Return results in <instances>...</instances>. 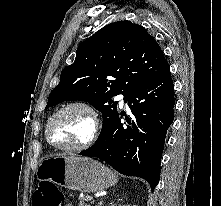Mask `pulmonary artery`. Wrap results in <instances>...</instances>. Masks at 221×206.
<instances>
[{"instance_id":"pulmonary-artery-1","label":"pulmonary artery","mask_w":221,"mask_h":206,"mask_svg":"<svg viewBox=\"0 0 221 206\" xmlns=\"http://www.w3.org/2000/svg\"><path fill=\"white\" fill-rule=\"evenodd\" d=\"M117 100H119L120 104L123 105L124 104V96H123V94H119L117 96Z\"/></svg>"}]
</instances>
